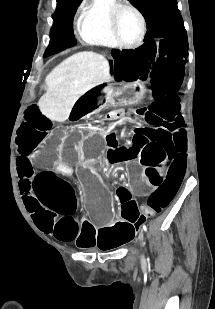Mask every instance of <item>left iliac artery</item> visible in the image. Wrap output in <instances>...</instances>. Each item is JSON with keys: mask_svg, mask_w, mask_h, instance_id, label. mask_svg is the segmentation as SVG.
<instances>
[{"mask_svg": "<svg viewBox=\"0 0 215 309\" xmlns=\"http://www.w3.org/2000/svg\"><path fill=\"white\" fill-rule=\"evenodd\" d=\"M142 228H143V230H144V231H146V230H147V227H146V225H145V224H143V225H142Z\"/></svg>", "mask_w": 215, "mask_h": 309, "instance_id": "44dca946", "label": "left iliac artery"}]
</instances>
